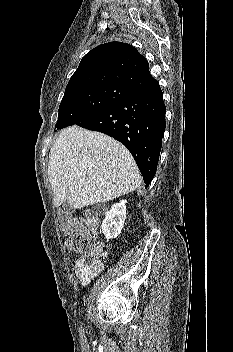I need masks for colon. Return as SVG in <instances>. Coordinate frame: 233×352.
<instances>
[{
  "label": "colon",
  "instance_id": "5ec220e1",
  "mask_svg": "<svg viewBox=\"0 0 233 352\" xmlns=\"http://www.w3.org/2000/svg\"><path fill=\"white\" fill-rule=\"evenodd\" d=\"M59 226L68 234L66 247L81 256L73 262L74 272L80 280H89L102 270L100 257L105 253V246L91 243L90 232L95 231L98 219L94 214H87L77 221L62 217Z\"/></svg>",
  "mask_w": 233,
  "mask_h": 352
}]
</instances>
